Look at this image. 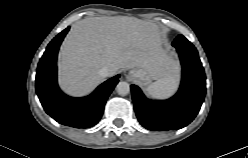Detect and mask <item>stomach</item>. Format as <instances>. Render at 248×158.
Here are the masks:
<instances>
[{"label": "stomach", "mask_w": 248, "mask_h": 158, "mask_svg": "<svg viewBox=\"0 0 248 158\" xmlns=\"http://www.w3.org/2000/svg\"><path fill=\"white\" fill-rule=\"evenodd\" d=\"M175 69H176V63H175ZM130 75L138 79L139 82L144 86L149 85L151 81L153 80L151 74L147 70L142 69V68H137V69L132 70L130 72Z\"/></svg>", "instance_id": "stomach-1"}]
</instances>
